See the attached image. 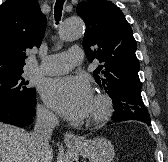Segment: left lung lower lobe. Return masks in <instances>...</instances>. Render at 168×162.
Segmentation results:
<instances>
[{
  "mask_svg": "<svg viewBox=\"0 0 168 162\" xmlns=\"http://www.w3.org/2000/svg\"><path fill=\"white\" fill-rule=\"evenodd\" d=\"M113 104L116 112L112 119L115 122L136 120L151 125L150 115L142 101L140 94H128L113 99Z\"/></svg>",
  "mask_w": 168,
  "mask_h": 162,
  "instance_id": "1",
  "label": "left lung lower lobe"
}]
</instances>
